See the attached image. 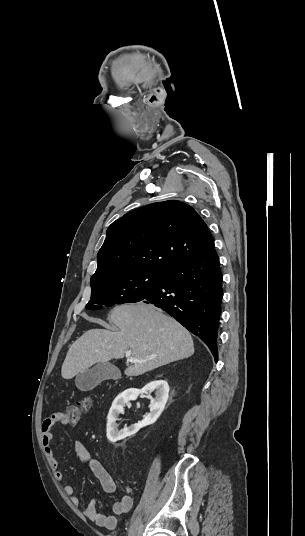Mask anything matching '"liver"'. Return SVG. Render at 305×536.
Wrapping results in <instances>:
<instances>
[{"label": "liver", "instance_id": "6515ba94", "mask_svg": "<svg viewBox=\"0 0 305 536\" xmlns=\"http://www.w3.org/2000/svg\"><path fill=\"white\" fill-rule=\"evenodd\" d=\"M108 320L120 332H85L66 354L61 370L64 380L84 374L98 362L124 358L127 352L140 362L126 368V376H141L159 366L190 358L194 354V344L188 330L151 304L138 302L116 306ZM93 322L101 326L105 324L103 320Z\"/></svg>", "mask_w": 305, "mask_h": 536}]
</instances>
